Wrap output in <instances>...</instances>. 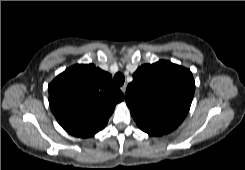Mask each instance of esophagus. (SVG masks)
<instances>
[{
    "instance_id": "34e87169",
    "label": "esophagus",
    "mask_w": 245,
    "mask_h": 170,
    "mask_svg": "<svg viewBox=\"0 0 245 170\" xmlns=\"http://www.w3.org/2000/svg\"><path fill=\"white\" fill-rule=\"evenodd\" d=\"M121 91H122L123 94L125 95V93H126V85H123V86L121 87Z\"/></svg>"
}]
</instances>
